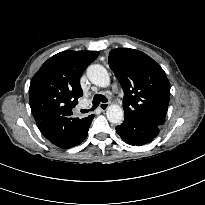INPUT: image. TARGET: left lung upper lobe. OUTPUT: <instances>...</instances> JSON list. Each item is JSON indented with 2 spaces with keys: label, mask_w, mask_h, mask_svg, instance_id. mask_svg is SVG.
<instances>
[{
  "label": "left lung upper lobe",
  "mask_w": 205,
  "mask_h": 205,
  "mask_svg": "<svg viewBox=\"0 0 205 205\" xmlns=\"http://www.w3.org/2000/svg\"><path fill=\"white\" fill-rule=\"evenodd\" d=\"M108 61L124 91L125 116L158 126L164 124L170 83L160 65L143 52L130 48L111 50Z\"/></svg>",
  "instance_id": "5c2ea615"
}]
</instances>
